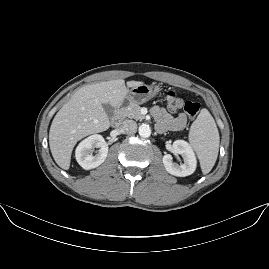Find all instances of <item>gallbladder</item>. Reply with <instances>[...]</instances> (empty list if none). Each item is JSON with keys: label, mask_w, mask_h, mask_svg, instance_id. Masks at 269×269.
<instances>
[{"label": "gallbladder", "mask_w": 269, "mask_h": 269, "mask_svg": "<svg viewBox=\"0 0 269 269\" xmlns=\"http://www.w3.org/2000/svg\"><path fill=\"white\" fill-rule=\"evenodd\" d=\"M103 109L106 113V115L111 118L114 115V108L109 103H103L102 104Z\"/></svg>", "instance_id": "obj_1"}]
</instances>
